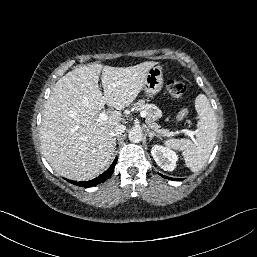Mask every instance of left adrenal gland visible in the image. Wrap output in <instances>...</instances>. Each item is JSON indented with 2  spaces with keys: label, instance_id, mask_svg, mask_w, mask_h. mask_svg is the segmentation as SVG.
<instances>
[{
  "label": "left adrenal gland",
  "instance_id": "obj_1",
  "mask_svg": "<svg viewBox=\"0 0 257 257\" xmlns=\"http://www.w3.org/2000/svg\"><path fill=\"white\" fill-rule=\"evenodd\" d=\"M147 133L149 135L150 140L152 139V137H157V138H161L158 134L151 132L150 129H147Z\"/></svg>",
  "mask_w": 257,
  "mask_h": 257
}]
</instances>
